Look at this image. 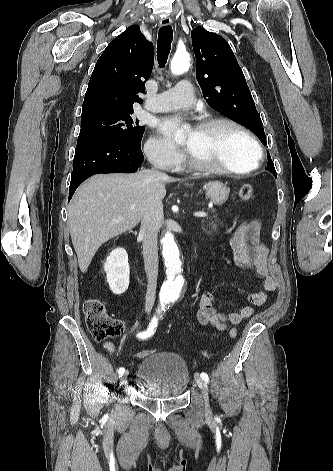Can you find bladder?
<instances>
[{
    "instance_id": "1",
    "label": "bladder",
    "mask_w": 333,
    "mask_h": 471,
    "mask_svg": "<svg viewBox=\"0 0 333 471\" xmlns=\"http://www.w3.org/2000/svg\"><path fill=\"white\" fill-rule=\"evenodd\" d=\"M146 396L170 400L182 396L190 383V372L178 354L160 351L145 357L136 372Z\"/></svg>"
}]
</instances>
